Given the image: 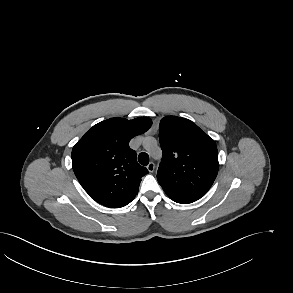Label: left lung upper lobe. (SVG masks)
Masks as SVG:
<instances>
[{
  "mask_svg": "<svg viewBox=\"0 0 293 293\" xmlns=\"http://www.w3.org/2000/svg\"><path fill=\"white\" fill-rule=\"evenodd\" d=\"M163 157L157 179L171 199H200L219 169L217 146L192 121L166 116L159 125Z\"/></svg>",
  "mask_w": 293,
  "mask_h": 293,
  "instance_id": "5c2ea615",
  "label": "left lung upper lobe"
}]
</instances>
